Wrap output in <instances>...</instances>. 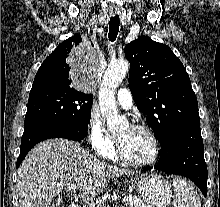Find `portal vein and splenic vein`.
Listing matches in <instances>:
<instances>
[{
  "label": "portal vein and splenic vein",
  "instance_id": "18ae733b",
  "mask_svg": "<svg viewBox=\"0 0 220 207\" xmlns=\"http://www.w3.org/2000/svg\"><path fill=\"white\" fill-rule=\"evenodd\" d=\"M68 191L75 192L76 191V184H69L67 186ZM82 199L87 202L88 207H101V205L98 203V201H94L92 199H86L84 196H82ZM133 198L131 196H126L123 198V202L132 201Z\"/></svg>",
  "mask_w": 220,
  "mask_h": 207
}]
</instances>
